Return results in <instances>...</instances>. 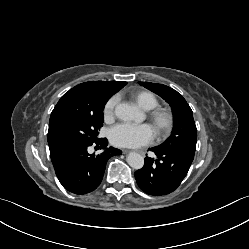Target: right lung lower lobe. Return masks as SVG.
Returning <instances> with one entry per match:
<instances>
[{"mask_svg": "<svg viewBox=\"0 0 249 249\" xmlns=\"http://www.w3.org/2000/svg\"><path fill=\"white\" fill-rule=\"evenodd\" d=\"M107 144V139H97L93 143L66 149L52 160L56 175L65 189L74 194H86L99 186L107 160L122 153L113 147L106 149ZM91 145L105 148V151L99 155L89 154Z\"/></svg>", "mask_w": 249, "mask_h": 249, "instance_id": "1", "label": "right lung lower lobe"}]
</instances>
